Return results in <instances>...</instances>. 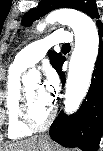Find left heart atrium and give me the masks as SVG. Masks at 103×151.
Masks as SVG:
<instances>
[{"mask_svg": "<svg viewBox=\"0 0 103 151\" xmlns=\"http://www.w3.org/2000/svg\"><path fill=\"white\" fill-rule=\"evenodd\" d=\"M40 89L44 98L52 102L58 89V78L53 71L48 72L47 79L40 85Z\"/></svg>", "mask_w": 103, "mask_h": 151, "instance_id": "left-heart-atrium-1", "label": "left heart atrium"}]
</instances>
